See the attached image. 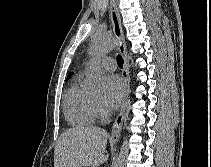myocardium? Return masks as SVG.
<instances>
[{
  "mask_svg": "<svg viewBox=\"0 0 211 167\" xmlns=\"http://www.w3.org/2000/svg\"><path fill=\"white\" fill-rule=\"evenodd\" d=\"M93 103H94V106H95L96 108H98V106H99L98 100H96L95 98H93Z\"/></svg>",
  "mask_w": 211,
  "mask_h": 167,
  "instance_id": "1",
  "label": "myocardium"
}]
</instances>
